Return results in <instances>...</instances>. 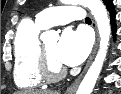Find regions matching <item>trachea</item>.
Instances as JSON below:
<instances>
[{
    "label": "trachea",
    "instance_id": "trachea-1",
    "mask_svg": "<svg viewBox=\"0 0 121 94\" xmlns=\"http://www.w3.org/2000/svg\"><path fill=\"white\" fill-rule=\"evenodd\" d=\"M85 21L86 22H91V19L89 17H86Z\"/></svg>",
    "mask_w": 121,
    "mask_h": 94
}]
</instances>
